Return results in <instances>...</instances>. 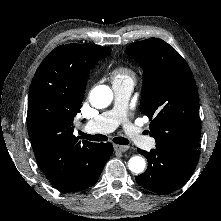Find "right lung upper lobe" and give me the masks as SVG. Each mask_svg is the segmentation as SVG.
<instances>
[{
    "instance_id": "right-lung-upper-lobe-1",
    "label": "right lung upper lobe",
    "mask_w": 221,
    "mask_h": 221,
    "mask_svg": "<svg viewBox=\"0 0 221 221\" xmlns=\"http://www.w3.org/2000/svg\"><path fill=\"white\" fill-rule=\"evenodd\" d=\"M110 50L83 44L58 46L42 61L30 86L27 126L33 151L51 183L65 192L78 185L98 146L74 136L73 119L90 69Z\"/></svg>"
}]
</instances>
